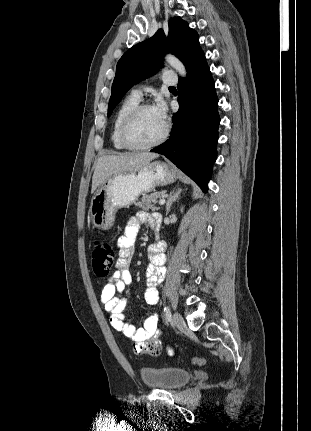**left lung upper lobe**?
Instances as JSON below:
<instances>
[{"label": "left lung upper lobe", "mask_w": 311, "mask_h": 431, "mask_svg": "<svg viewBox=\"0 0 311 431\" xmlns=\"http://www.w3.org/2000/svg\"><path fill=\"white\" fill-rule=\"evenodd\" d=\"M201 51L198 34L180 17L171 18L168 37L160 29L150 39L130 48L118 61L108 106V117L134 84L158 71L162 66L165 53L176 55L187 68Z\"/></svg>", "instance_id": "obj_1"}]
</instances>
